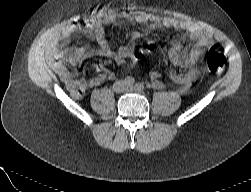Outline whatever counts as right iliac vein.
<instances>
[{
	"label": "right iliac vein",
	"instance_id": "1",
	"mask_svg": "<svg viewBox=\"0 0 251 192\" xmlns=\"http://www.w3.org/2000/svg\"><path fill=\"white\" fill-rule=\"evenodd\" d=\"M114 88L116 91L123 90L124 89V82H122V81L116 82V84L114 85Z\"/></svg>",
	"mask_w": 251,
	"mask_h": 192
}]
</instances>
